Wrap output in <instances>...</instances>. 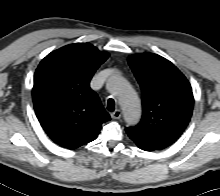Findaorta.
<instances>
[{"label": "aorta", "instance_id": "obj_1", "mask_svg": "<svg viewBox=\"0 0 220 196\" xmlns=\"http://www.w3.org/2000/svg\"><path fill=\"white\" fill-rule=\"evenodd\" d=\"M107 88L118 98L124 120L128 125L136 124L141 116L140 100L129 82L121 76H112Z\"/></svg>", "mask_w": 220, "mask_h": 196}]
</instances>
